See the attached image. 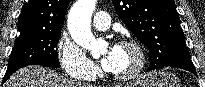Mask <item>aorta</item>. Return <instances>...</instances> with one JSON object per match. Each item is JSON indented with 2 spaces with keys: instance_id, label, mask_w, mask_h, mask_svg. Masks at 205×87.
<instances>
[{
  "instance_id": "aorta-1",
  "label": "aorta",
  "mask_w": 205,
  "mask_h": 87,
  "mask_svg": "<svg viewBox=\"0 0 205 87\" xmlns=\"http://www.w3.org/2000/svg\"><path fill=\"white\" fill-rule=\"evenodd\" d=\"M96 0H77L68 14V30L72 39L82 48L99 50L100 42L92 34L90 22Z\"/></svg>"
}]
</instances>
